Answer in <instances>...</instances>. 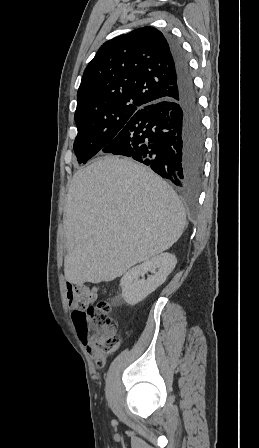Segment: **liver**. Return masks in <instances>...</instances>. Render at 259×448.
Instances as JSON below:
<instances>
[{"label": "liver", "instance_id": "1", "mask_svg": "<svg viewBox=\"0 0 259 448\" xmlns=\"http://www.w3.org/2000/svg\"><path fill=\"white\" fill-rule=\"evenodd\" d=\"M65 280L99 284L171 248L186 224L171 186L132 158L105 156L75 172L63 216Z\"/></svg>", "mask_w": 259, "mask_h": 448}]
</instances>
